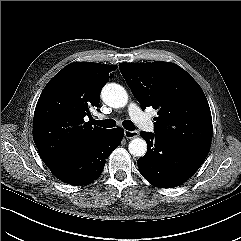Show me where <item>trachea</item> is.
<instances>
[{
	"label": "trachea",
	"mask_w": 241,
	"mask_h": 241,
	"mask_svg": "<svg viewBox=\"0 0 241 241\" xmlns=\"http://www.w3.org/2000/svg\"><path fill=\"white\" fill-rule=\"evenodd\" d=\"M94 125H98L104 128H112L116 125V122L113 119H106V120H93ZM123 127L126 130L133 131L135 129L134 124L130 120H125L122 123Z\"/></svg>",
	"instance_id": "obj_1"
}]
</instances>
